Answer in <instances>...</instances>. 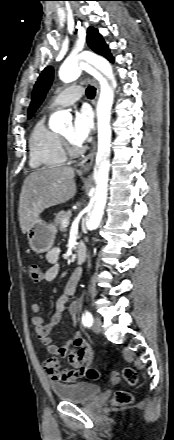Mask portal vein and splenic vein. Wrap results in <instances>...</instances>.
<instances>
[{
	"label": "portal vein and splenic vein",
	"mask_w": 174,
	"mask_h": 440,
	"mask_svg": "<svg viewBox=\"0 0 174 440\" xmlns=\"http://www.w3.org/2000/svg\"><path fill=\"white\" fill-rule=\"evenodd\" d=\"M69 219H64L63 221H62V226L63 227H67L68 225H69Z\"/></svg>",
	"instance_id": "portal-vein-and-splenic-vein-1"
}]
</instances>
